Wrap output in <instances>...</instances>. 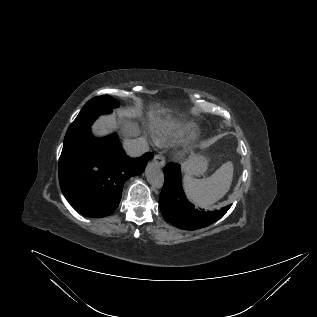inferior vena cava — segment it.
<instances>
[{
	"instance_id": "602c4592",
	"label": "inferior vena cava",
	"mask_w": 317,
	"mask_h": 317,
	"mask_svg": "<svg viewBox=\"0 0 317 317\" xmlns=\"http://www.w3.org/2000/svg\"><path fill=\"white\" fill-rule=\"evenodd\" d=\"M123 148L130 157L134 158L140 157L149 150L146 139L142 137L136 139H126L123 143Z\"/></svg>"
}]
</instances>
